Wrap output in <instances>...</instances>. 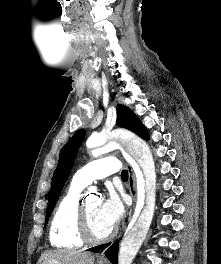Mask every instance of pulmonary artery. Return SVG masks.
Wrapping results in <instances>:
<instances>
[{"label": "pulmonary artery", "instance_id": "1", "mask_svg": "<svg viewBox=\"0 0 221 264\" xmlns=\"http://www.w3.org/2000/svg\"><path fill=\"white\" fill-rule=\"evenodd\" d=\"M119 170L120 163L115 157L101 158L94 160L77 170L72 181L86 187L93 181L105 178Z\"/></svg>", "mask_w": 221, "mask_h": 264}]
</instances>
